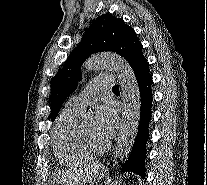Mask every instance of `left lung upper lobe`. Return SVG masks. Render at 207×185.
I'll list each match as a JSON object with an SVG mask.
<instances>
[{"label":"left lung upper lobe","instance_id":"1","mask_svg":"<svg viewBox=\"0 0 207 185\" xmlns=\"http://www.w3.org/2000/svg\"><path fill=\"white\" fill-rule=\"evenodd\" d=\"M142 50L137 34L122 19L111 14L97 18L69 55L64 67L52 78L51 120H55L64 100L76 89L81 78V64L91 54L116 52L127 60L136 74L140 69L148 67Z\"/></svg>","mask_w":207,"mask_h":185}]
</instances>
